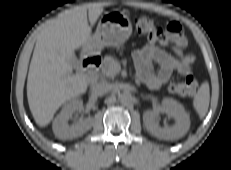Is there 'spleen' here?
Returning <instances> with one entry per match:
<instances>
[{"label":"spleen","instance_id":"1","mask_svg":"<svg viewBox=\"0 0 231 170\" xmlns=\"http://www.w3.org/2000/svg\"><path fill=\"white\" fill-rule=\"evenodd\" d=\"M209 101H210L209 84L208 82H204L200 86L193 100V107L198 113L200 118H203L206 115L209 107Z\"/></svg>","mask_w":231,"mask_h":170}]
</instances>
